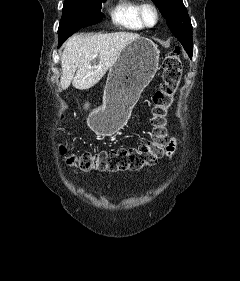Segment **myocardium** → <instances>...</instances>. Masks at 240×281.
<instances>
[{
  "instance_id": "f54148a6",
  "label": "myocardium",
  "mask_w": 240,
  "mask_h": 281,
  "mask_svg": "<svg viewBox=\"0 0 240 281\" xmlns=\"http://www.w3.org/2000/svg\"><path fill=\"white\" fill-rule=\"evenodd\" d=\"M150 9L154 13V21L149 23L146 20L145 12ZM138 16L142 25L146 28H153L160 22V11L157 5L151 1H144L138 7Z\"/></svg>"
}]
</instances>
